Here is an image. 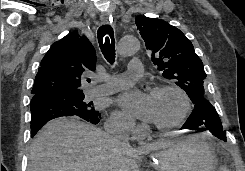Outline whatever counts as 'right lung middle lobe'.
<instances>
[{
	"label": "right lung middle lobe",
	"mask_w": 245,
	"mask_h": 171,
	"mask_svg": "<svg viewBox=\"0 0 245 171\" xmlns=\"http://www.w3.org/2000/svg\"><path fill=\"white\" fill-rule=\"evenodd\" d=\"M60 98L64 99L69 104L73 105L77 109H82V111L86 114L92 115L99 113L96 111L94 107H91L90 104H86L84 100V94L76 95V96H61Z\"/></svg>",
	"instance_id": "right-lung-middle-lobe-1"
}]
</instances>
